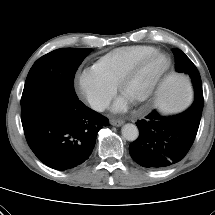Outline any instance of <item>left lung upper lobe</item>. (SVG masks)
Listing matches in <instances>:
<instances>
[{
    "label": "left lung upper lobe",
    "mask_w": 215,
    "mask_h": 215,
    "mask_svg": "<svg viewBox=\"0 0 215 215\" xmlns=\"http://www.w3.org/2000/svg\"><path fill=\"white\" fill-rule=\"evenodd\" d=\"M172 51L175 55L176 71L188 74L192 79L195 93L203 94L201 77L196 66L181 50L177 48H173Z\"/></svg>",
    "instance_id": "left-lung-upper-lobe-1"
}]
</instances>
